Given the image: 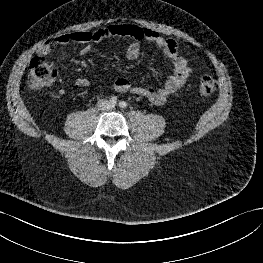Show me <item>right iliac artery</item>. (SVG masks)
<instances>
[{
	"instance_id": "right-iliac-artery-1",
	"label": "right iliac artery",
	"mask_w": 263,
	"mask_h": 263,
	"mask_svg": "<svg viewBox=\"0 0 263 263\" xmlns=\"http://www.w3.org/2000/svg\"><path fill=\"white\" fill-rule=\"evenodd\" d=\"M110 103H111L112 105H115V104L117 103V97L112 96V97L110 98Z\"/></svg>"
}]
</instances>
